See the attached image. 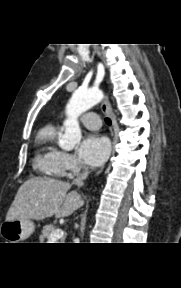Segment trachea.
<instances>
[{"label": "trachea", "mask_w": 181, "mask_h": 288, "mask_svg": "<svg viewBox=\"0 0 181 288\" xmlns=\"http://www.w3.org/2000/svg\"><path fill=\"white\" fill-rule=\"evenodd\" d=\"M105 122H106L107 125H109V126L111 125V120H110V118H105Z\"/></svg>", "instance_id": "trachea-1"}]
</instances>
